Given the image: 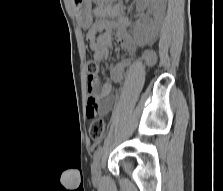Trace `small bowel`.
I'll use <instances>...</instances> for the list:
<instances>
[{
  "label": "small bowel",
  "mask_w": 223,
  "mask_h": 191,
  "mask_svg": "<svg viewBox=\"0 0 223 191\" xmlns=\"http://www.w3.org/2000/svg\"><path fill=\"white\" fill-rule=\"evenodd\" d=\"M99 1V0H96ZM116 8H107L98 4L95 8V15L98 17L88 31L90 48L93 51L94 59L98 62L105 59L112 47V37L116 36L117 42L125 51L134 54L137 51L136 41L129 35L127 28L129 21L126 18L113 19ZM143 61L146 65H152L156 61L154 51L148 50L143 54ZM131 60L126 58L109 70L112 81L120 83L124 80L125 70L130 66ZM98 83L89 82L87 90L89 93L87 99V115L93 117L97 112L106 114L113 105V99L110 96L112 85L105 81L97 92Z\"/></svg>",
  "instance_id": "obj_1"
}]
</instances>
